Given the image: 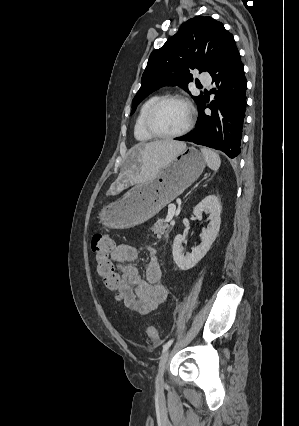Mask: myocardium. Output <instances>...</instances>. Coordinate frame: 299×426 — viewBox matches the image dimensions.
Segmentation results:
<instances>
[{"mask_svg": "<svg viewBox=\"0 0 299 426\" xmlns=\"http://www.w3.org/2000/svg\"><path fill=\"white\" fill-rule=\"evenodd\" d=\"M168 102H180L182 104H184L187 109H188V120L186 125L179 130L178 132L175 133H162L159 132L153 123V119L154 116L156 114V112L158 111V109L164 105L165 103ZM194 123V109L192 104L190 103V101L181 96V95H166V96H162L161 98H159L157 101H155L152 106L149 108L146 117H145V128L147 130V132L152 135L154 138H160V139H173V138H178L181 137L183 135H185L187 132L190 131V129L192 128Z\"/></svg>", "mask_w": 299, "mask_h": 426, "instance_id": "f54148a6", "label": "myocardium"}]
</instances>
